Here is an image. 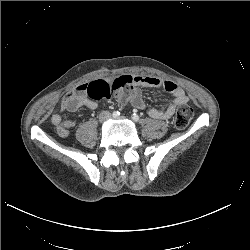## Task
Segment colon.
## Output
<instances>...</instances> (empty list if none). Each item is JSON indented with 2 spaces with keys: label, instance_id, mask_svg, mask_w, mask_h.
I'll return each mask as SVG.
<instances>
[{
  "label": "colon",
  "instance_id": "obj_1",
  "mask_svg": "<svg viewBox=\"0 0 250 250\" xmlns=\"http://www.w3.org/2000/svg\"><path fill=\"white\" fill-rule=\"evenodd\" d=\"M114 88L104 79L90 82L86 87V92L91 99L102 100L110 99L113 95ZM73 95L67 96V102L72 100ZM126 103V102H125ZM194 116V111L187 105L180 106L175 113L174 125L177 129L186 128Z\"/></svg>",
  "mask_w": 250,
  "mask_h": 250
}]
</instances>
